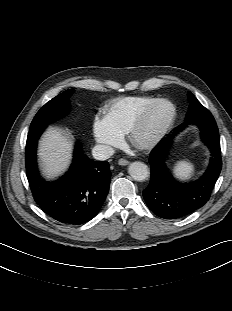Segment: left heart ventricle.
Returning <instances> with one entry per match:
<instances>
[{
	"mask_svg": "<svg viewBox=\"0 0 232 311\" xmlns=\"http://www.w3.org/2000/svg\"><path fill=\"white\" fill-rule=\"evenodd\" d=\"M169 113L170 108L167 105H161L155 109L140 130L138 138L145 140L153 135L161 127Z\"/></svg>",
	"mask_w": 232,
	"mask_h": 311,
	"instance_id": "1",
	"label": "left heart ventricle"
}]
</instances>
